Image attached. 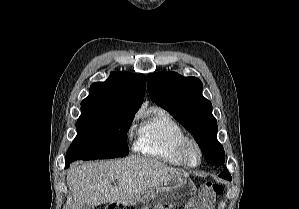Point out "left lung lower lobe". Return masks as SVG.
I'll return each mask as SVG.
<instances>
[{
	"instance_id": "left-lung-lower-lobe-1",
	"label": "left lung lower lobe",
	"mask_w": 299,
	"mask_h": 209,
	"mask_svg": "<svg viewBox=\"0 0 299 209\" xmlns=\"http://www.w3.org/2000/svg\"><path fill=\"white\" fill-rule=\"evenodd\" d=\"M219 177H221V178H223V179H226V180H229V181L232 179V177H231V175H230V173L228 172L227 169H225V170L219 175Z\"/></svg>"
}]
</instances>
